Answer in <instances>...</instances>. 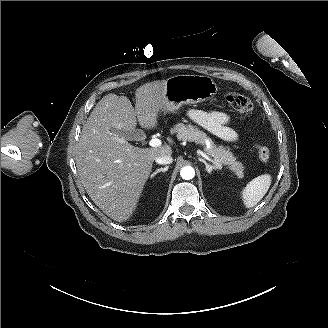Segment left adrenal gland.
<instances>
[{
	"instance_id": "a2214340",
	"label": "left adrenal gland",
	"mask_w": 328,
	"mask_h": 328,
	"mask_svg": "<svg viewBox=\"0 0 328 328\" xmlns=\"http://www.w3.org/2000/svg\"><path fill=\"white\" fill-rule=\"evenodd\" d=\"M201 162L206 166L207 171L212 174L213 170H217L216 168L209 166L208 163L205 160H201Z\"/></svg>"
}]
</instances>
